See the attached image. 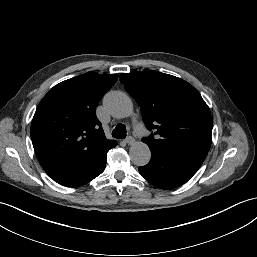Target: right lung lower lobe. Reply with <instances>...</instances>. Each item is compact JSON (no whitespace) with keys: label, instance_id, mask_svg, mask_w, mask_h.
Masks as SVG:
<instances>
[{"label":"right lung lower lobe","instance_id":"obj_1","mask_svg":"<svg viewBox=\"0 0 257 257\" xmlns=\"http://www.w3.org/2000/svg\"><path fill=\"white\" fill-rule=\"evenodd\" d=\"M106 155L97 164L85 170L81 175L72 178H63L56 180L57 183L67 187H77L83 185L100 175L106 166Z\"/></svg>","mask_w":257,"mask_h":257}]
</instances>
